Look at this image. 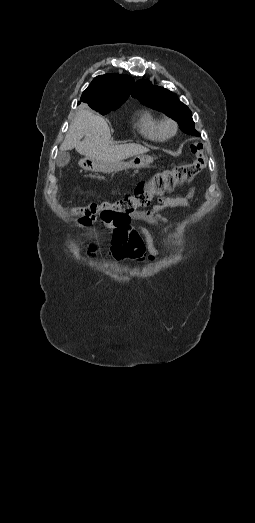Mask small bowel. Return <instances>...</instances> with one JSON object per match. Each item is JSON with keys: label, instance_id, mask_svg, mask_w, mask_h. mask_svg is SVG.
I'll return each instance as SVG.
<instances>
[{"label": "small bowel", "instance_id": "1", "mask_svg": "<svg viewBox=\"0 0 255 523\" xmlns=\"http://www.w3.org/2000/svg\"><path fill=\"white\" fill-rule=\"evenodd\" d=\"M194 190L191 189L184 197H168L156 204L151 210H141L132 213L127 222L121 226L110 225L113 228L109 256L114 260L128 259L134 262L152 261L160 255L155 246L151 232L144 226L131 225L130 220L145 221L157 227L164 235V224L168 219L158 212L162 209L175 207H191ZM94 247L89 248V255L94 256Z\"/></svg>", "mask_w": 255, "mask_h": 523}]
</instances>
